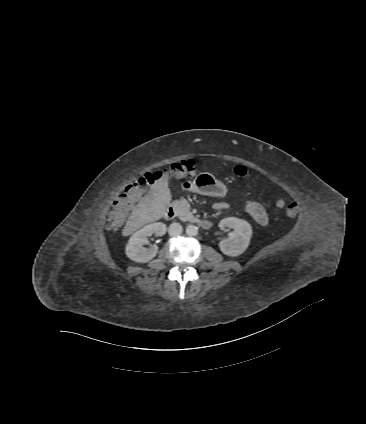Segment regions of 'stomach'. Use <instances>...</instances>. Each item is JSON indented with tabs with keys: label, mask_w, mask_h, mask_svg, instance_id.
Masks as SVG:
<instances>
[{
	"label": "stomach",
	"mask_w": 366,
	"mask_h": 424,
	"mask_svg": "<svg viewBox=\"0 0 366 424\" xmlns=\"http://www.w3.org/2000/svg\"><path fill=\"white\" fill-rule=\"evenodd\" d=\"M186 183L193 192L201 195L222 198L227 193L225 184L208 172L200 173L192 182L187 181Z\"/></svg>",
	"instance_id": "stomach-1"
}]
</instances>
